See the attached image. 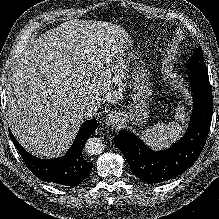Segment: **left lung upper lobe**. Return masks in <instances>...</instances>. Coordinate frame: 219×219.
Instances as JSON below:
<instances>
[{"label": "left lung upper lobe", "mask_w": 219, "mask_h": 219, "mask_svg": "<svg viewBox=\"0 0 219 219\" xmlns=\"http://www.w3.org/2000/svg\"><path fill=\"white\" fill-rule=\"evenodd\" d=\"M187 67L190 71L208 74L203 59V51L200 47L196 49L193 56L188 59Z\"/></svg>", "instance_id": "left-lung-upper-lobe-1"}]
</instances>
